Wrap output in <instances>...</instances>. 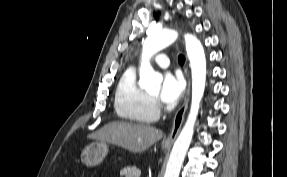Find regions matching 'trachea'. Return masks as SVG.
Masks as SVG:
<instances>
[{"label": "trachea", "mask_w": 287, "mask_h": 177, "mask_svg": "<svg viewBox=\"0 0 287 177\" xmlns=\"http://www.w3.org/2000/svg\"><path fill=\"white\" fill-rule=\"evenodd\" d=\"M178 62H179V64H181V65L184 64V62H185V57H184L182 54H180V55L178 56Z\"/></svg>", "instance_id": "3493384b"}]
</instances>
